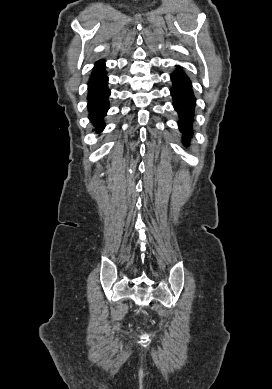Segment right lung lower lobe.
Returning a JSON list of instances; mask_svg holds the SVG:
<instances>
[{"instance_id": "1", "label": "right lung lower lobe", "mask_w": 272, "mask_h": 389, "mask_svg": "<svg viewBox=\"0 0 272 389\" xmlns=\"http://www.w3.org/2000/svg\"><path fill=\"white\" fill-rule=\"evenodd\" d=\"M108 77L106 75L104 60L96 62L88 82V111L89 119H92L95 124V131L100 133L105 124L103 118L109 109L108 96Z\"/></svg>"}]
</instances>
